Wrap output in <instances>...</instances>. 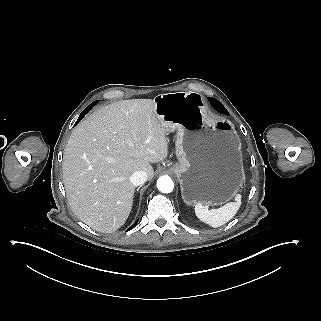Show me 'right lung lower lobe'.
<instances>
[{
  "label": "right lung lower lobe",
  "instance_id": "obj_1",
  "mask_svg": "<svg viewBox=\"0 0 321 321\" xmlns=\"http://www.w3.org/2000/svg\"><path fill=\"white\" fill-rule=\"evenodd\" d=\"M97 102H98V101H95V102L91 103L88 107H86V108L83 110V112L80 114V116H79L76 124L85 116L86 113L89 112V110H91V108H92ZM137 222H138V220H137L128 230H130V229H132L133 227H135V225L137 224Z\"/></svg>",
  "mask_w": 321,
  "mask_h": 321
}]
</instances>
